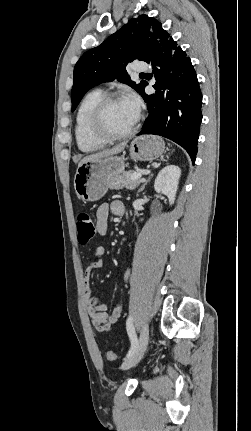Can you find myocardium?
Here are the masks:
<instances>
[{
  "label": "myocardium",
  "instance_id": "obj_1",
  "mask_svg": "<svg viewBox=\"0 0 251 431\" xmlns=\"http://www.w3.org/2000/svg\"><path fill=\"white\" fill-rule=\"evenodd\" d=\"M120 100H122L121 96L117 94H108V95H104L94 106L89 117L88 128L91 136H93L95 139H98L104 142L117 141V140L128 138L137 131L141 120L140 111L137 113L136 120L132 125V127L123 133H118V134L111 133L108 130H106V128L104 127L103 117H104L106 108L110 104Z\"/></svg>",
  "mask_w": 251,
  "mask_h": 431
}]
</instances>
